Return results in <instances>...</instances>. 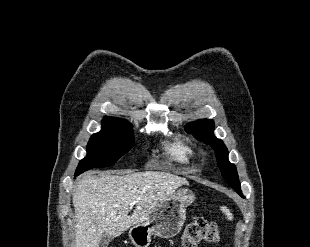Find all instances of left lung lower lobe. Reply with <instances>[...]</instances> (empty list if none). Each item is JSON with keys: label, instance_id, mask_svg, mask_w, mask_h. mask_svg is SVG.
<instances>
[{"label": "left lung lower lobe", "instance_id": "obj_1", "mask_svg": "<svg viewBox=\"0 0 310 247\" xmlns=\"http://www.w3.org/2000/svg\"><path fill=\"white\" fill-rule=\"evenodd\" d=\"M236 191H237V193H238L241 197H243V198H244V196H243L242 191H241V189H240V188L236 189Z\"/></svg>", "mask_w": 310, "mask_h": 247}]
</instances>
